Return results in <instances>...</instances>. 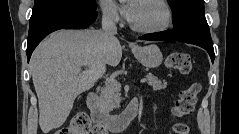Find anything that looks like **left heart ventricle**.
Returning <instances> with one entry per match:
<instances>
[{"label": "left heart ventricle", "instance_id": "1", "mask_svg": "<svg viewBox=\"0 0 239 134\" xmlns=\"http://www.w3.org/2000/svg\"><path fill=\"white\" fill-rule=\"evenodd\" d=\"M164 20L161 7L153 2L142 0L136 2V10L131 23L138 27H156Z\"/></svg>", "mask_w": 239, "mask_h": 134}]
</instances>
